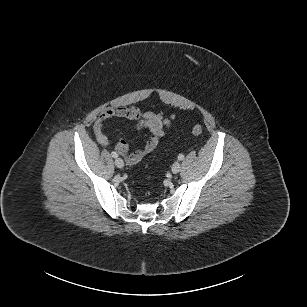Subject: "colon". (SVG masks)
I'll use <instances>...</instances> for the list:
<instances>
[{
	"label": "colon",
	"instance_id": "colon-1",
	"mask_svg": "<svg viewBox=\"0 0 307 307\" xmlns=\"http://www.w3.org/2000/svg\"><path fill=\"white\" fill-rule=\"evenodd\" d=\"M191 132L194 135H201L203 133V128L199 124H195L191 127Z\"/></svg>",
	"mask_w": 307,
	"mask_h": 307
}]
</instances>
